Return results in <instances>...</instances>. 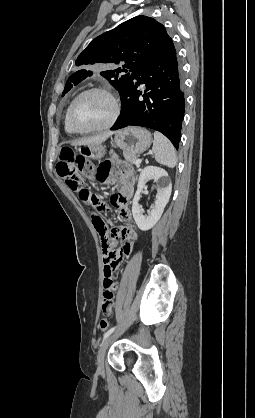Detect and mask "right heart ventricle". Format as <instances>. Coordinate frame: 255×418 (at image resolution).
Returning <instances> with one entry per match:
<instances>
[{"label": "right heart ventricle", "instance_id": "1", "mask_svg": "<svg viewBox=\"0 0 255 418\" xmlns=\"http://www.w3.org/2000/svg\"><path fill=\"white\" fill-rule=\"evenodd\" d=\"M68 108H69V106L67 107L66 112H65V115H64V127H65V130H66L67 133L73 134L75 132L69 127V125L67 123V112H68Z\"/></svg>", "mask_w": 255, "mask_h": 418}]
</instances>
